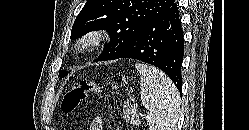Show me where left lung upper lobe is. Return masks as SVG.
<instances>
[{
    "label": "left lung upper lobe",
    "instance_id": "1",
    "mask_svg": "<svg viewBox=\"0 0 249 130\" xmlns=\"http://www.w3.org/2000/svg\"><path fill=\"white\" fill-rule=\"evenodd\" d=\"M174 0H88L78 14L71 39L96 30L110 34L107 44L96 61L110 60L126 46L134 35L150 20L167 11ZM67 71H60L65 77Z\"/></svg>",
    "mask_w": 249,
    "mask_h": 130
}]
</instances>
